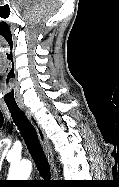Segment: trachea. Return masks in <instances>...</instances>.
I'll return each instance as SVG.
<instances>
[{
  "instance_id": "trachea-1",
  "label": "trachea",
  "mask_w": 119,
  "mask_h": 187,
  "mask_svg": "<svg viewBox=\"0 0 119 187\" xmlns=\"http://www.w3.org/2000/svg\"><path fill=\"white\" fill-rule=\"evenodd\" d=\"M7 107L14 123L18 127V130L25 141V144L27 145L39 173L44 179H50V166L40 145L35 127L18 105L7 104Z\"/></svg>"
}]
</instances>
